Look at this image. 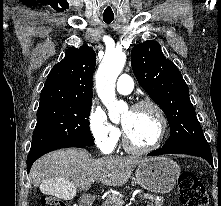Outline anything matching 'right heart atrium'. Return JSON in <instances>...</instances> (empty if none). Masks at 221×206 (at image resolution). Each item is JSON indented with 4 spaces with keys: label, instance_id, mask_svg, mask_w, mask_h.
<instances>
[{
    "label": "right heart atrium",
    "instance_id": "obj_1",
    "mask_svg": "<svg viewBox=\"0 0 221 206\" xmlns=\"http://www.w3.org/2000/svg\"><path fill=\"white\" fill-rule=\"evenodd\" d=\"M88 125L91 136L104 154L112 153L121 137L117 127L109 122L105 112L98 106L93 105L88 116Z\"/></svg>",
    "mask_w": 221,
    "mask_h": 206
}]
</instances>
